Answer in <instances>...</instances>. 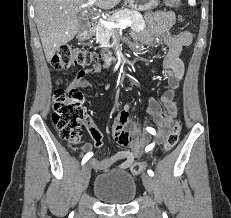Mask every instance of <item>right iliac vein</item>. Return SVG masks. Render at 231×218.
I'll return each mask as SVG.
<instances>
[{
  "mask_svg": "<svg viewBox=\"0 0 231 218\" xmlns=\"http://www.w3.org/2000/svg\"><path fill=\"white\" fill-rule=\"evenodd\" d=\"M91 176V166L89 163H86L81 171V182L83 190H86Z\"/></svg>",
  "mask_w": 231,
  "mask_h": 218,
  "instance_id": "obj_1",
  "label": "right iliac vein"
}]
</instances>
